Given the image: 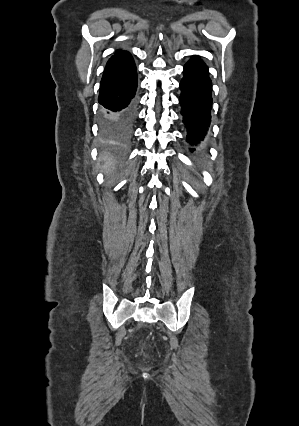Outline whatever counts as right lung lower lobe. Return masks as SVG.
I'll return each mask as SVG.
<instances>
[{
  "mask_svg": "<svg viewBox=\"0 0 299 426\" xmlns=\"http://www.w3.org/2000/svg\"><path fill=\"white\" fill-rule=\"evenodd\" d=\"M137 73L128 53L113 55L105 67L98 101L103 130L119 138L129 136L136 118Z\"/></svg>",
  "mask_w": 299,
  "mask_h": 426,
  "instance_id": "right-lung-lower-lobe-1",
  "label": "right lung lower lobe"
}]
</instances>
